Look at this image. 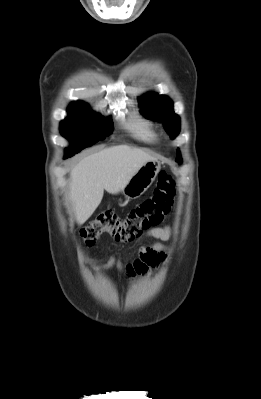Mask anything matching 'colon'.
Returning <instances> with one entry per match:
<instances>
[{
    "label": "colon",
    "mask_w": 261,
    "mask_h": 399,
    "mask_svg": "<svg viewBox=\"0 0 261 399\" xmlns=\"http://www.w3.org/2000/svg\"><path fill=\"white\" fill-rule=\"evenodd\" d=\"M174 184L166 172H160L153 195L130 210L125 217L104 212L81 229L87 247L93 246L102 235L116 242H132L144 231L159 225L169 212L174 197Z\"/></svg>",
    "instance_id": "5ec220e1"
}]
</instances>
